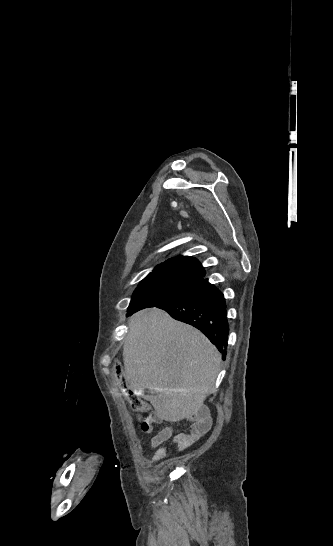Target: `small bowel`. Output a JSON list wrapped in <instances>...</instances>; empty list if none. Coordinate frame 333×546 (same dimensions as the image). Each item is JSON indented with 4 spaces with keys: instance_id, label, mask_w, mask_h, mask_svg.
I'll list each match as a JSON object with an SVG mask.
<instances>
[{
    "instance_id": "1",
    "label": "small bowel",
    "mask_w": 333,
    "mask_h": 546,
    "mask_svg": "<svg viewBox=\"0 0 333 546\" xmlns=\"http://www.w3.org/2000/svg\"><path fill=\"white\" fill-rule=\"evenodd\" d=\"M165 419L161 413H155L153 415V421L155 423H161ZM210 428V419L199 417L192 421L191 426L186 432L173 434L170 428H165L155 434L150 441L151 448L155 449L152 455V462L156 463L163 459L167 453V447L165 444L171 441L175 444L179 450H183L196 442L202 437Z\"/></svg>"
}]
</instances>
